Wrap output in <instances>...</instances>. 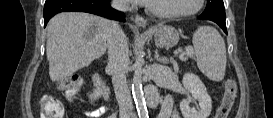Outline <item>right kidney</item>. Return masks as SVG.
Wrapping results in <instances>:
<instances>
[{
    "label": "right kidney",
    "mask_w": 273,
    "mask_h": 118,
    "mask_svg": "<svg viewBox=\"0 0 273 118\" xmlns=\"http://www.w3.org/2000/svg\"><path fill=\"white\" fill-rule=\"evenodd\" d=\"M101 96L100 89H95L92 94L89 95L90 100H97Z\"/></svg>",
    "instance_id": "right-kidney-1"
}]
</instances>
